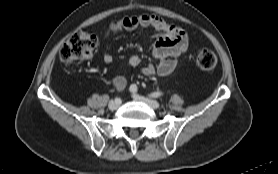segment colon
<instances>
[{
  "mask_svg": "<svg viewBox=\"0 0 278 174\" xmlns=\"http://www.w3.org/2000/svg\"><path fill=\"white\" fill-rule=\"evenodd\" d=\"M97 45L98 40L96 36L85 30H78L63 44L59 52L60 59L63 62L69 63L87 58L93 54ZM196 63L201 70L211 71L217 64V57L213 51L202 49L197 54Z\"/></svg>",
  "mask_w": 278,
  "mask_h": 174,
  "instance_id": "colon-1",
  "label": "colon"
}]
</instances>
